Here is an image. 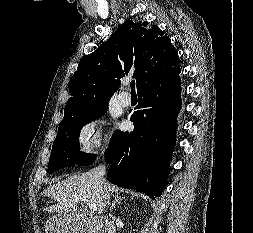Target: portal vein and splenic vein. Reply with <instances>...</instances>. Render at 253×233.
<instances>
[{"label": "portal vein and splenic vein", "mask_w": 253, "mask_h": 233, "mask_svg": "<svg viewBox=\"0 0 253 233\" xmlns=\"http://www.w3.org/2000/svg\"><path fill=\"white\" fill-rule=\"evenodd\" d=\"M86 205H87L88 208H89L91 211H93V212L97 210L96 204L86 202Z\"/></svg>", "instance_id": "obj_1"}]
</instances>
